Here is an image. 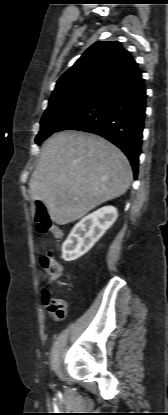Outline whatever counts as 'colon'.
I'll list each match as a JSON object with an SVG mask.
<instances>
[{
    "mask_svg": "<svg viewBox=\"0 0 168 415\" xmlns=\"http://www.w3.org/2000/svg\"><path fill=\"white\" fill-rule=\"evenodd\" d=\"M35 223L39 233L51 234L57 241L62 239L63 233L61 229L53 224L46 208L43 205L37 206ZM40 261L41 265L46 270V278L48 281L53 282L62 277L63 268L51 255H42Z\"/></svg>",
    "mask_w": 168,
    "mask_h": 415,
    "instance_id": "1",
    "label": "colon"
}]
</instances>
